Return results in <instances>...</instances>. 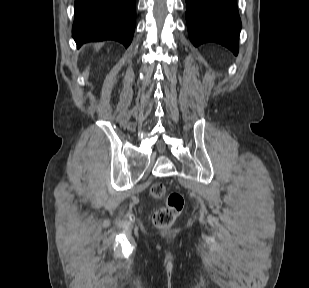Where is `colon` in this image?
Masks as SVG:
<instances>
[{
  "label": "colon",
  "instance_id": "5ec220e1",
  "mask_svg": "<svg viewBox=\"0 0 309 288\" xmlns=\"http://www.w3.org/2000/svg\"><path fill=\"white\" fill-rule=\"evenodd\" d=\"M154 199H165V205L159 208L154 216L153 222L158 228H168L180 215L184 208L185 200L181 193H168L164 184L154 183L150 189Z\"/></svg>",
  "mask_w": 309,
  "mask_h": 288
}]
</instances>
